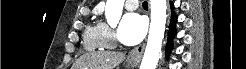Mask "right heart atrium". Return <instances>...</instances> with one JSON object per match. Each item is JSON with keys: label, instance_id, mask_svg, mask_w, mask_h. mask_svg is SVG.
<instances>
[{"label": "right heart atrium", "instance_id": "right-heart-atrium-1", "mask_svg": "<svg viewBox=\"0 0 246 69\" xmlns=\"http://www.w3.org/2000/svg\"><path fill=\"white\" fill-rule=\"evenodd\" d=\"M104 34L106 36V39L109 43V45L113 44L116 41V36H115V32L113 29H111L106 23H100Z\"/></svg>", "mask_w": 246, "mask_h": 69}]
</instances>
